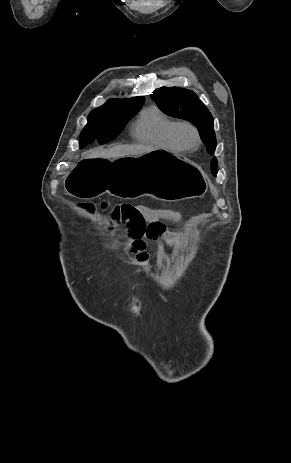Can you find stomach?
I'll use <instances>...</instances> for the list:
<instances>
[{
	"label": "stomach",
	"instance_id": "0dacf381",
	"mask_svg": "<svg viewBox=\"0 0 291 463\" xmlns=\"http://www.w3.org/2000/svg\"><path fill=\"white\" fill-rule=\"evenodd\" d=\"M70 195L93 199L104 193L121 199L151 196L179 201L203 196L207 176L194 162L164 150L139 156L82 157L65 182Z\"/></svg>",
	"mask_w": 291,
	"mask_h": 463
}]
</instances>
